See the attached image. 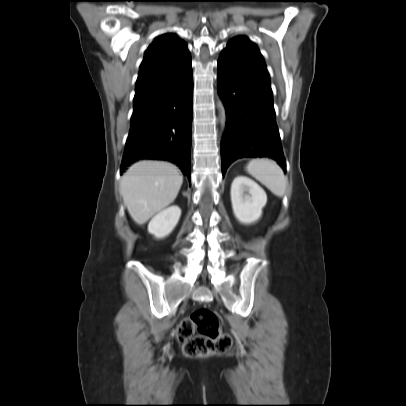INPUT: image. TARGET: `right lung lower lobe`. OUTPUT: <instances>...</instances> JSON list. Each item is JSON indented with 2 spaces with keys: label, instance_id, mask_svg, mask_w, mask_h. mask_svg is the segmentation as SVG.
Masks as SVG:
<instances>
[{
  "label": "right lung lower lobe",
  "instance_id": "obj_1",
  "mask_svg": "<svg viewBox=\"0 0 406 406\" xmlns=\"http://www.w3.org/2000/svg\"><path fill=\"white\" fill-rule=\"evenodd\" d=\"M192 68L169 84L134 98L120 172L140 159L169 161L191 178Z\"/></svg>",
  "mask_w": 406,
  "mask_h": 406
}]
</instances>
